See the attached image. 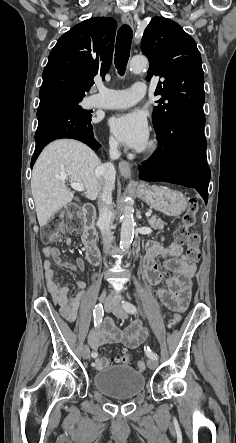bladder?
<instances>
[{
	"instance_id": "31cf9c89",
	"label": "bladder",
	"mask_w": 236,
	"mask_h": 443,
	"mask_svg": "<svg viewBox=\"0 0 236 443\" xmlns=\"http://www.w3.org/2000/svg\"><path fill=\"white\" fill-rule=\"evenodd\" d=\"M94 386L113 399H130L145 387V376L131 366H110L93 375Z\"/></svg>"
}]
</instances>
